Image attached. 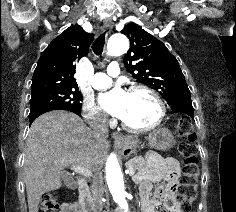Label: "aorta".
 <instances>
[{"mask_svg": "<svg viewBox=\"0 0 236 212\" xmlns=\"http://www.w3.org/2000/svg\"><path fill=\"white\" fill-rule=\"evenodd\" d=\"M129 49V41L124 34H114L107 45V54L119 56ZM106 180L113 200L122 212H129V204L126 198L123 174L115 154H111L106 162Z\"/></svg>", "mask_w": 236, "mask_h": 212, "instance_id": "762f6f07", "label": "aorta"}]
</instances>
